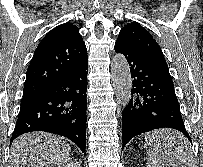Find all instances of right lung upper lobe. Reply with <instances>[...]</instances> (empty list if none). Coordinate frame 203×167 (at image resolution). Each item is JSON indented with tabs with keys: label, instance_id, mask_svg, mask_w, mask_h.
Segmentation results:
<instances>
[{
	"label": "right lung upper lobe",
	"instance_id": "obj_1",
	"mask_svg": "<svg viewBox=\"0 0 203 167\" xmlns=\"http://www.w3.org/2000/svg\"><path fill=\"white\" fill-rule=\"evenodd\" d=\"M86 58L87 49L77 26L64 23L52 29L34 52L23 97L45 92Z\"/></svg>",
	"mask_w": 203,
	"mask_h": 167
}]
</instances>
